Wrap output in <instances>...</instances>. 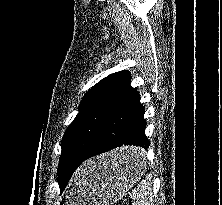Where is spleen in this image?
<instances>
[{
    "mask_svg": "<svg viewBox=\"0 0 222 205\" xmlns=\"http://www.w3.org/2000/svg\"><path fill=\"white\" fill-rule=\"evenodd\" d=\"M131 197L134 205H154L150 175L138 184L137 189L133 190Z\"/></svg>",
    "mask_w": 222,
    "mask_h": 205,
    "instance_id": "3e777b00",
    "label": "spleen"
}]
</instances>
